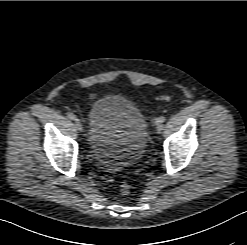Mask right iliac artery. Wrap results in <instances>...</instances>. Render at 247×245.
<instances>
[{
	"label": "right iliac artery",
	"instance_id": "1",
	"mask_svg": "<svg viewBox=\"0 0 247 245\" xmlns=\"http://www.w3.org/2000/svg\"><path fill=\"white\" fill-rule=\"evenodd\" d=\"M67 117H68L70 120H75V119H76V116H75L73 113H67Z\"/></svg>",
	"mask_w": 247,
	"mask_h": 245
}]
</instances>
